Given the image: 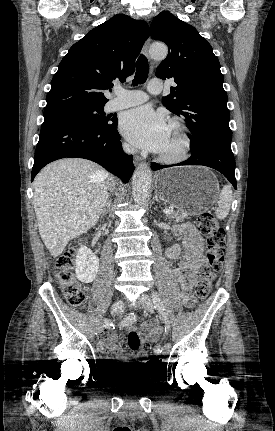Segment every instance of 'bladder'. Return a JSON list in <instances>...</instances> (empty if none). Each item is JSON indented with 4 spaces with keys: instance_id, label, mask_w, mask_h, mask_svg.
<instances>
[{
    "instance_id": "31cf9c89",
    "label": "bladder",
    "mask_w": 275,
    "mask_h": 431,
    "mask_svg": "<svg viewBox=\"0 0 275 431\" xmlns=\"http://www.w3.org/2000/svg\"><path fill=\"white\" fill-rule=\"evenodd\" d=\"M138 365L139 364H128V365L123 366V367H127L124 369H127V370L131 371L132 373H134V372L138 371L139 369H142V367H143V366H138ZM110 367H115V366H114V364L113 365L111 364Z\"/></svg>"
}]
</instances>
